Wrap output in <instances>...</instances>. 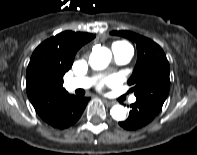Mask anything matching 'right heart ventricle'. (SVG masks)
I'll use <instances>...</instances> for the list:
<instances>
[{
  "label": "right heart ventricle",
  "mask_w": 197,
  "mask_h": 155,
  "mask_svg": "<svg viewBox=\"0 0 197 155\" xmlns=\"http://www.w3.org/2000/svg\"><path fill=\"white\" fill-rule=\"evenodd\" d=\"M113 45H124V43H122V42H117V43H114Z\"/></svg>",
  "instance_id": "right-heart-ventricle-1"
}]
</instances>
